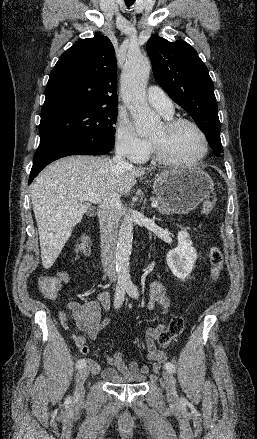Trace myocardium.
I'll return each instance as SVG.
<instances>
[{
    "label": "myocardium",
    "mask_w": 257,
    "mask_h": 439,
    "mask_svg": "<svg viewBox=\"0 0 257 439\" xmlns=\"http://www.w3.org/2000/svg\"><path fill=\"white\" fill-rule=\"evenodd\" d=\"M184 125H187V126L194 128L202 139L203 150H202L201 154L196 159L191 160V161L176 160V159L172 158L171 156H169L168 152L162 147V144L160 143L159 140H157L155 138H151V143H152L155 155L159 160L166 162V163H170L176 167L192 168V167H195L198 164H200L205 159V157L208 155L209 141H208V138H207L205 132L202 130V128L198 124H196L195 122H193L189 119H184V118L168 119L163 123V126L168 131H173V130L177 129L178 127L184 126Z\"/></svg>",
    "instance_id": "f54148a6"
}]
</instances>
